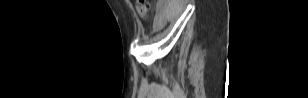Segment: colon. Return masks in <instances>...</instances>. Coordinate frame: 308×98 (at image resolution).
<instances>
[{
	"label": "colon",
	"instance_id": "colon-1",
	"mask_svg": "<svg viewBox=\"0 0 308 98\" xmlns=\"http://www.w3.org/2000/svg\"><path fill=\"white\" fill-rule=\"evenodd\" d=\"M136 10L142 18L146 19L149 17L150 6L145 0L136 1Z\"/></svg>",
	"mask_w": 308,
	"mask_h": 98
}]
</instances>
